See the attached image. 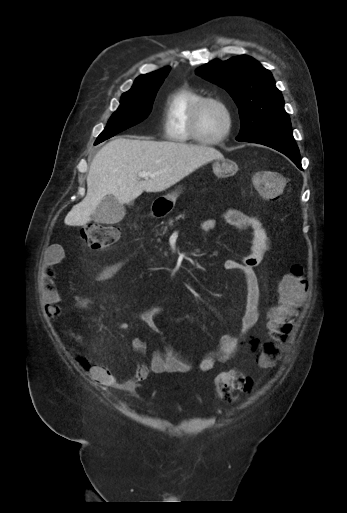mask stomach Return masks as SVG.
<instances>
[{
	"instance_id": "1",
	"label": "stomach",
	"mask_w": 347,
	"mask_h": 513,
	"mask_svg": "<svg viewBox=\"0 0 347 513\" xmlns=\"http://www.w3.org/2000/svg\"><path fill=\"white\" fill-rule=\"evenodd\" d=\"M213 172L217 177L225 178L233 175L237 170V164L229 159H219L212 164ZM178 193L173 192L164 196V201H168L170 205L175 203Z\"/></svg>"
}]
</instances>
